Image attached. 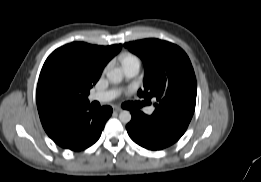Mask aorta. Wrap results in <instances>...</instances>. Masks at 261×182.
I'll use <instances>...</instances> for the list:
<instances>
[{
	"label": "aorta",
	"instance_id": "obj_1",
	"mask_svg": "<svg viewBox=\"0 0 261 182\" xmlns=\"http://www.w3.org/2000/svg\"><path fill=\"white\" fill-rule=\"evenodd\" d=\"M106 76H107V79H108L109 82L120 83L123 80L124 74H123L121 69L114 68V69L109 70L107 72ZM119 120L124 124L129 123L131 121L130 112L126 111V110L120 112Z\"/></svg>",
	"mask_w": 261,
	"mask_h": 182
}]
</instances>
